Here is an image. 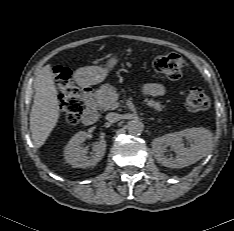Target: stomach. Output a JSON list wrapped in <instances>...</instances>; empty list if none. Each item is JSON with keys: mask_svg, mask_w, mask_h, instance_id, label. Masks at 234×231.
I'll list each match as a JSON object with an SVG mask.
<instances>
[{"mask_svg": "<svg viewBox=\"0 0 234 231\" xmlns=\"http://www.w3.org/2000/svg\"><path fill=\"white\" fill-rule=\"evenodd\" d=\"M117 62L118 59L116 56H114L108 60L105 67L86 66L79 68L75 73L76 80L80 85H96L101 83L106 79Z\"/></svg>", "mask_w": 234, "mask_h": 231, "instance_id": "0dacf381", "label": "stomach"}]
</instances>
